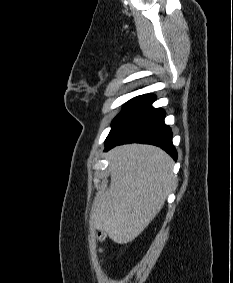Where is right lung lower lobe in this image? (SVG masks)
I'll use <instances>...</instances> for the list:
<instances>
[{
	"instance_id": "obj_1",
	"label": "right lung lower lobe",
	"mask_w": 233,
	"mask_h": 283,
	"mask_svg": "<svg viewBox=\"0 0 233 283\" xmlns=\"http://www.w3.org/2000/svg\"><path fill=\"white\" fill-rule=\"evenodd\" d=\"M155 96H140L129 112L105 140V151L125 143L153 144L165 150L174 160L177 151L172 144V131L165 125V112L152 107Z\"/></svg>"
}]
</instances>
